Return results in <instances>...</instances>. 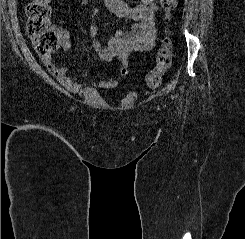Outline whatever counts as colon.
Segmentation results:
<instances>
[{
    "instance_id": "1",
    "label": "colon",
    "mask_w": 245,
    "mask_h": 239,
    "mask_svg": "<svg viewBox=\"0 0 245 239\" xmlns=\"http://www.w3.org/2000/svg\"><path fill=\"white\" fill-rule=\"evenodd\" d=\"M165 14L166 22L171 20L173 10L177 6V0H160ZM27 35L30 38L35 52L43 57L52 55L59 47V36L49 26L52 16L51 0H32L26 6ZM173 41L166 35L158 50L155 67L144 78L149 88H157L161 85L162 77L172 65Z\"/></svg>"
}]
</instances>
